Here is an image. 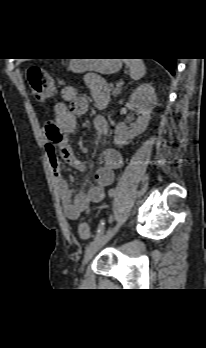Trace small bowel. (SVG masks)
Masks as SVG:
<instances>
[{
	"instance_id": "1",
	"label": "small bowel",
	"mask_w": 206,
	"mask_h": 348,
	"mask_svg": "<svg viewBox=\"0 0 206 348\" xmlns=\"http://www.w3.org/2000/svg\"><path fill=\"white\" fill-rule=\"evenodd\" d=\"M85 83L90 89L91 97L98 108L108 104L110 87L98 75L88 74ZM62 101L54 106L55 118L45 127V152L55 178L56 190L64 207L67 219L75 221L82 213L88 212L91 205L101 202L105 197L106 187L114 179L115 171L123 165L121 154L115 149H107L102 154V164L94 172V183L87 192L74 195L71 188L72 178L64 174L61 160H67L83 169L84 164L73 158L68 136L77 127V118L88 111L89 99L81 95L77 88L64 86L60 92ZM93 129L99 135L109 131L105 117L97 116L93 120Z\"/></svg>"
}]
</instances>
